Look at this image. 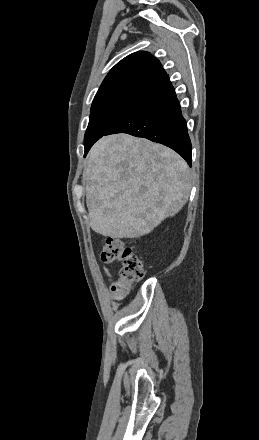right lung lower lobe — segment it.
I'll list each match as a JSON object with an SVG mask.
<instances>
[{"instance_id":"right-lung-lower-lobe-1","label":"right lung lower lobe","mask_w":259,"mask_h":440,"mask_svg":"<svg viewBox=\"0 0 259 440\" xmlns=\"http://www.w3.org/2000/svg\"><path fill=\"white\" fill-rule=\"evenodd\" d=\"M115 133H128L166 145L180 154L191 166L192 149L187 124L168 75L156 83L143 99L104 135ZM94 142L85 146L84 156Z\"/></svg>"}]
</instances>
